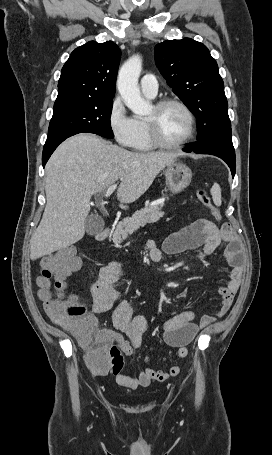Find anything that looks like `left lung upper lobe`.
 Masks as SVG:
<instances>
[{"instance_id":"left-lung-upper-lobe-1","label":"left lung upper lobe","mask_w":272,"mask_h":455,"mask_svg":"<svg viewBox=\"0 0 272 455\" xmlns=\"http://www.w3.org/2000/svg\"><path fill=\"white\" fill-rule=\"evenodd\" d=\"M156 65L172 91L197 119V140L231 128L224 83L208 48L191 38L155 47Z\"/></svg>"}]
</instances>
